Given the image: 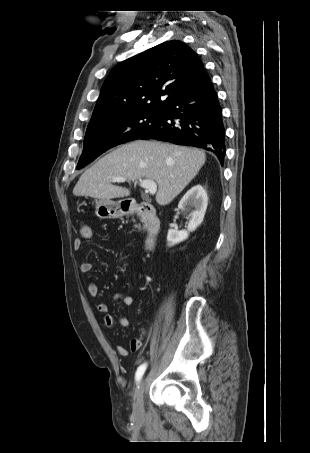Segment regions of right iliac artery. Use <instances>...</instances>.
Returning a JSON list of instances; mask_svg holds the SVG:
<instances>
[{
  "label": "right iliac artery",
  "instance_id": "82829eb1",
  "mask_svg": "<svg viewBox=\"0 0 310 453\" xmlns=\"http://www.w3.org/2000/svg\"><path fill=\"white\" fill-rule=\"evenodd\" d=\"M146 367H147V364L146 363H143L142 365H140L136 371V374H135V379H136V382L138 383L140 381V379L142 378L145 370H146Z\"/></svg>",
  "mask_w": 310,
  "mask_h": 453
}]
</instances>
